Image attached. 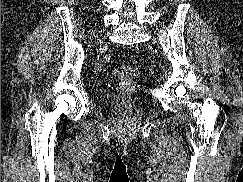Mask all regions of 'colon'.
I'll list each match as a JSON object with an SVG mask.
<instances>
[{
  "instance_id": "obj_1",
  "label": "colon",
  "mask_w": 243,
  "mask_h": 182,
  "mask_svg": "<svg viewBox=\"0 0 243 182\" xmlns=\"http://www.w3.org/2000/svg\"><path fill=\"white\" fill-rule=\"evenodd\" d=\"M113 74L120 80L129 81L138 75V70L134 67H118L113 70Z\"/></svg>"
}]
</instances>
